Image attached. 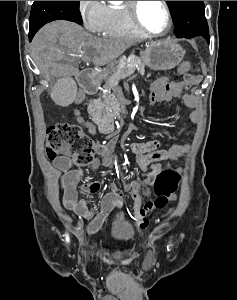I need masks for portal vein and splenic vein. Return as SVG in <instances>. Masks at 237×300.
Listing matches in <instances>:
<instances>
[{"label":"portal vein and splenic vein","instance_id":"obj_1","mask_svg":"<svg viewBox=\"0 0 237 300\" xmlns=\"http://www.w3.org/2000/svg\"><path fill=\"white\" fill-rule=\"evenodd\" d=\"M134 70V69H133ZM129 71H132V68H129ZM129 76H132V73H129ZM124 79V78H123Z\"/></svg>","mask_w":237,"mask_h":300}]
</instances>
